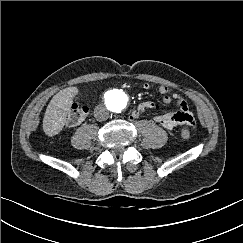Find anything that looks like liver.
Masks as SVG:
<instances>
[{
  "mask_svg": "<svg viewBox=\"0 0 243 243\" xmlns=\"http://www.w3.org/2000/svg\"><path fill=\"white\" fill-rule=\"evenodd\" d=\"M77 93L76 87H68L53 96L43 118V130L46 135L50 137L57 135L63 129L73 98Z\"/></svg>",
  "mask_w": 243,
  "mask_h": 243,
  "instance_id": "obj_1",
  "label": "liver"
}]
</instances>
